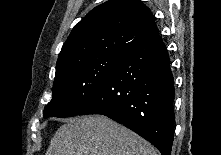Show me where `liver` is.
Instances as JSON below:
<instances>
[{
	"instance_id": "6515ba94",
	"label": "liver",
	"mask_w": 221,
	"mask_h": 155,
	"mask_svg": "<svg viewBox=\"0 0 221 155\" xmlns=\"http://www.w3.org/2000/svg\"><path fill=\"white\" fill-rule=\"evenodd\" d=\"M46 155H157L146 140L117 122L91 115L70 120L51 139Z\"/></svg>"
}]
</instances>
